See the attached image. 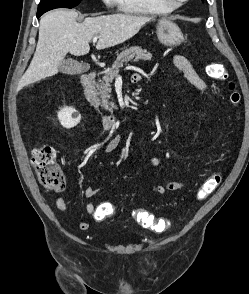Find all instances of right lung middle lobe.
Instances as JSON below:
<instances>
[{"instance_id": "obj_1", "label": "right lung middle lobe", "mask_w": 249, "mask_h": 294, "mask_svg": "<svg viewBox=\"0 0 249 294\" xmlns=\"http://www.w3.org/2000/svg\"><path fill=\"white\" fill-rule=\"evenodd\" d=\"M82 0H41L38 6L37 13H45L55 8H73L77 6Z\"/></svg>"}]
</instances>
